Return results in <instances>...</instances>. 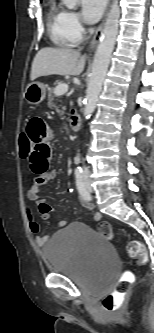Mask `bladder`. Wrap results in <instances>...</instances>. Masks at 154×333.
I'll use <instances>...</instances> for the list:
<instances>
[{
	"label": "bladder",
	"instance_id": "obj_1",
	"mask_svg": "<svg viewBox=\"0 0 154 333\" xmlns=\"http://www.w3.org/2000/svg\"><path fill=\"white\" fill-rule=\"evenodd\" d=\"M42 255L52 271L99 289L109 287L118 266L111 243L82 222L56 231L42 247Z\"/></svg>",
	"mask_w": 154,
	"mask_h": 333
}]
</instances>
